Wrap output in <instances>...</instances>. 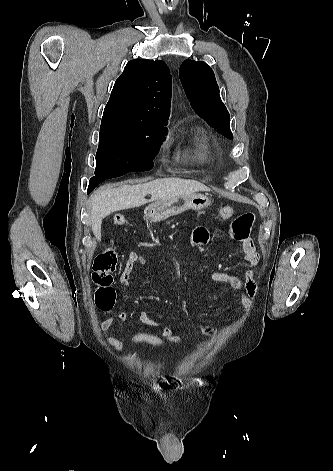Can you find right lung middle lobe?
Segmentation results:
<instances>
[{"instance_id": "obj_1", "label": "right lung middle lobe", "mask_w": 333, "mask_h": 471, "mask_svg": "<svg viewBox=\"0 0 333 471\" xmlns=\"http://www.w3.org/2000/svg\"><path fill=\"white\" fill-rule=\"evenodd\" d=\"M166 134L163 124L102 119L94 178L110 179L151 170Z\"/></svg>"}]
</instances>
